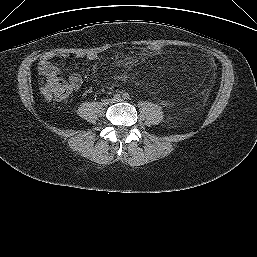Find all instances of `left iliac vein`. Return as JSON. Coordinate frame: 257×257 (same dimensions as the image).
I'll list each match as a JSON object with an SVG mask.
<instances>
[{
  "label": "left iliac vein",
  "mask_w": 257,
  "mask_h": 257,
  "mask_svg": "<svg viewBox=\"0 0 257 257\" xmlns=\"http://www.w3.org/2000/svg\"><path fill=\"white\" fill-rule=\"evenodd\" d=\"M121 101H122L121 98L115 100V102H121Z\"/></svg>",
  "instance_id": "left-iliac-vein-1"
}]
</instances>
